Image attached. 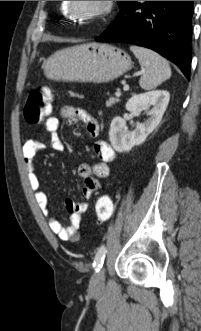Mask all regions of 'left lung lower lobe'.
I'll return each instance as SVG.
<instances>
[{
    "label": "left lung lower lobe",
    "instance_id": "left-lung-lower-lobe-1",
    "mask_svg": "<svg viewBox=\"0 0 201 331\" xmlns=\"http://www.w3.org/2000/svg\"><path fill=\"white\" fill-rule=\"evenodd\" d=\"M192 13L193 1H123L117 17L96 40L150 48L190 79Z\"/></svg>",
    "mask_w": 201,
    "mask_h": 331
}]
</instances>
